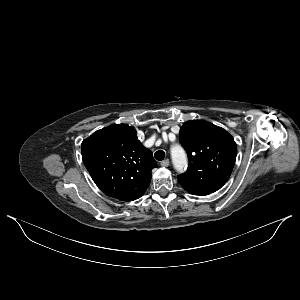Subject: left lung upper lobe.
Here are the masks:
<instances>
[{
    "mask_svg": "<svg viewBox=\"0 0 300 300\" xmlns=\"http://www.w3.org/2000/svg\"><path fill=\"white\" fill-rule=\"evenodd\" d=\"M180 143L189 158L187 172L178 177L180 185L199 196L219 190L235 164L237 146L233 137L212 123L191 120L180 129Z\"/></svg>",
    "mask_w": 300,
    "mask_h": 300,
    "instance_id": "5c2ea615",
    "label": "left lung upper lobe"
}]
</instances>
